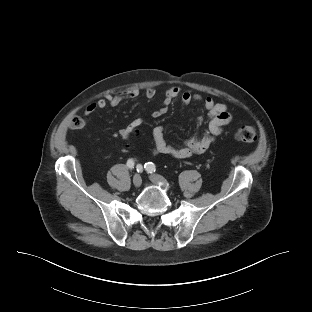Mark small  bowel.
Here are the masks:
<instances>
[{"label":"small bowel","instance_id":"obj_1","mask_svg":"<svg viewBox=\"0 0 312 312\" xmlns=\"http://www.w3.org/2000/svg\"><path fill=\"white\" fill-rule=\"evenodd\" d=\"M138 95L139 90L137 89H129L113 95H106L104 98L88 104L85 108V115L90 116L96 110L104 109L108 105L117 106L122 101L134 99ZM145 96L148 99H153L156 96V89L154 87H148L145 91ZM176 98H180L181 103L184 106L189 105L192 102L201 103L204 110L207 112L206 127L200 134H195L189 137L183 145L176 146L166 141L163 127L161 125H156L152 129V139L154 144L153 153L164 154L178 159H186L195 154L205 152L222 133L224 127L231 122L232 115L225 104L219 103L211 97H203L200 94L188 90L183 91L179 86L172 85L167 88L161 106L152 112V116L158 118L165 114ZM204 122V117L202 115L199 116L196 121V128H201L204 125ZM142 123L143 120L141 118L133 119L119 130L120 137L123 140H128Z\"/></svg>","mask_w":312,"mask_h":312}]
</instances>
